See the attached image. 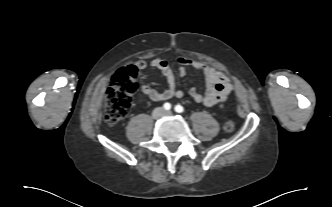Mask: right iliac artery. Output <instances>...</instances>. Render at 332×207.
<instances>
[{
	"label": "right iliac artery",
	"instance_id": "obj_1",
	"mask_svg": "<svg viewBox=\"0 0 332 207\" xmlns=\"http://www.w3.org/2000/svg\"><path fill=\"white\" fill-rule=\"evenodd\" d=\"M163 107H164L165 110H170L171 109V104L167 102L163 105Z\"/></svg>",
	"mask_w": 332,
	"mask_h": 207
}]
</instances>
